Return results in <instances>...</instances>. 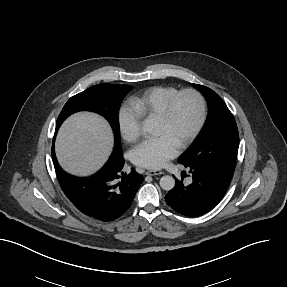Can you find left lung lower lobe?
<instances>
[{
  "label": "left lung lower lobe",
  "instance_id": "obj_1",
  "mask_svg": "<svg viewBox=\"0 0 287 287\" xmlns=\"http://www.w3.org/2000/svg\"><path fill=\"white\" fill-rule=\"evenodd\" d=\"M192 176L189 185L176 180L175 187L165 196L166 203L186 216H199L216 206L223 198L233 173L205 165L188 167Z\"/></svg>",
  "mask_w": 287,
  "mask_h": 287
}]
</instances>
